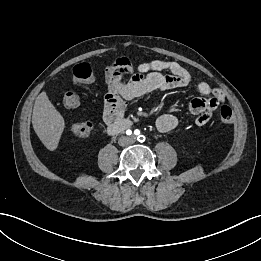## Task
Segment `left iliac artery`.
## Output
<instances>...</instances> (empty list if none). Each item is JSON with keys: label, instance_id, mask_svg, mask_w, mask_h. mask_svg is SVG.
<instances>
[{"label": "left iliac artery", "instance_id": "44dca946", "mask_svg": "<svg viewBox=\"0 0 261 261\" xmlns=\"http://www.w3.org/2000/svg\"><path fill=\"white\" fill-rule=\"evenodd\" d=\"M134 133H135L136 135H139L140 131H139V130H135ZM138 140H139L140 142H143V141H145V137H144L143 135H140V136H138Z\"/></svg>", "mask_w": 261, "mask_h": 261}]
</instances>
